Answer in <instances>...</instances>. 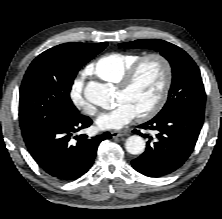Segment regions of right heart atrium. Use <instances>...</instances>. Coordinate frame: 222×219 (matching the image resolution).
Wrapping results in <instances>:
<instances>
[{
  "label": "right heart atrium",
  "mask_w": 222,
  "mask_h": 219,
  "mask_svg": "<svg viewBox=\"0 0 222 219\" xmlns=\"http://www.w3.org/2000/svg\"><path fill=\"white\" fill-rule=\"evenodd\" d=\"M84 83L82 77H76L70 88V98L73 104L83 113L93 116L96 114V108L85 98Z\"/></svg>",
  "instance_id": "1"
}]
</instances>
